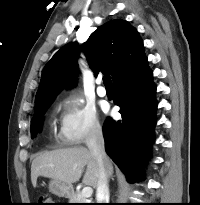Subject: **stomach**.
Here are the masks:
<instances>
[{
	"label": "stomach",
	"instance_id": "1",
	"mask_svg": "<svg viewBox=\"0 0 200 205\" xmlns=\"http://www.w3.org/2000/svg\"><path fill=\"white\" fill-rule=\"evenodd\" d=\"M49 191L58 197H70L72 194V186L52 179L49 183Z\"/></svg>",
	"mask_w": 200,
	"mask_h": 205
}]
</instances>
